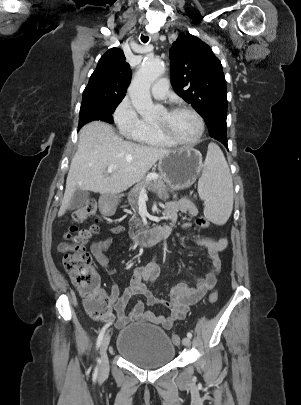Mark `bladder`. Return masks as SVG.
I'll return each instance as SVG.
<instances>
[{"label": "bladder", "mask_w": 301, "mask_h": 405, "mask_svg": "<svg viewBox=\"0 0 301 405\" xmlns=\"http://www.w3.org/2000/svg\"><path fill=\"white\" fill-rule=\"evenodd\" d=\"M116 351L127 361L147 369L170 363L175 346L162 329L147 323L123 328L117 337Z\"/></svg>", "instance_id": "obj_1"}]
</instances>
